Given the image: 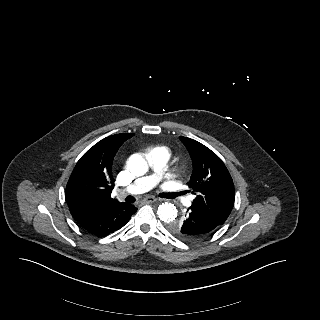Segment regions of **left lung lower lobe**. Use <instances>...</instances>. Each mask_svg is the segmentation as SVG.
<instances>
[{
  "mask_svg": "<svg viewBox=\"0 0 320 320\" xmlns=\"http://www.w3.org/2000/svg\"><path fill=\"white\" fill-rule=\"evenodd\" d=\"M181 222L182 231L195 239L205 238L221 226L209 216L191 207L188 208L187 214Z\"/></svg>",
  "mask_w": 320,
  "mask_h": 320,
  "instance_id": "0a47b994",
  "label": "left lung lower lobe"
}]
</instances>
